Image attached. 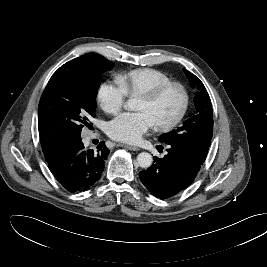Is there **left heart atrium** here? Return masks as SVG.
I'll return each instance as SVG.
<instances>
[{"mask_svg":"<svg viewBox=\"0 0 267 267\" xmlns=\"http://www.w3.org/2000/svg\"><path fill=\"white\" fill-rule=\"evenodd\" d=\"M153 127L143 112L122 113L107 125V133L114 140L135 144Z\"/></svg>","mask_w":267,"mask_h":267,"instance_id":"left-heart-atrium-1","label":"left heart atrium"}]
</instances>
